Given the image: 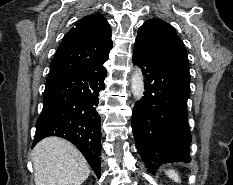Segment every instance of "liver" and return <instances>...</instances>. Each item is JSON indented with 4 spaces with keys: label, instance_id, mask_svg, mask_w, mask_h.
Instances as JSON below:
<instances>
[{
    "label": "liver",
    "instance_id": "6515ba94",
    "mask_svg": "<svg viewBox=\"0 0 233 185\" xmlns=\"http://www.w3.org/2000/svg\"><path fill=\"white\" fill-rule=\"evenodd\" d=\"M35 185H81L90 166L81 152L59 137L41 140L32 151Z\"/></svg>",
    "mask_w": 233,
    "mask_h": 185
}]
</instances>
